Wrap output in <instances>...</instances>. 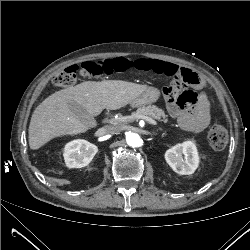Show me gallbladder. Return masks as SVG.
Segmentation results:
<instances>
[{
    "mask_svg": "<svg viewBox=\"0 0 250 250\" xmlns=\"http://www.w3.org/2000/svg\"><path fill=\"white\" fill-rule=\"evenodd\" d=\"M70 110L72 113L81 121L88 122L91 118L89 113L86 111V109L81 106L80 104H77L75 102H69L68 103Z\"/></svg>",
    "mask_w": 250,
    "mask_h": 250,
    "instance_id": "bac80fb5",
    "label": "gallbladder"
}]
</instances>
